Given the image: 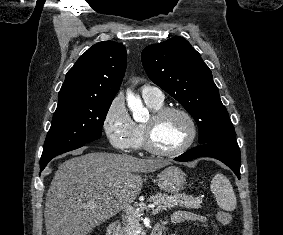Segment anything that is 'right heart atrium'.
Returning a JSON list of instances; mask_svg holds the SVG:
<instances>
[{
    "label": "right heart atrium",
    "instance_id": "right-heart-atrium-1",
    "mask_svg": "<svg viewBox=\"0 0 283 235\" xmlns=\"http://www.w3.org/2000/svg\"><path fill=\"white\" fill-rule=\"evenodd\" d=\"M103 129L116 149L127 150L131 147L135 123L121 96L115 97L109 104L103 119Z\"/></svg>",
    "mask_w": 283,
    "mask_h": 235
}]
</instances>
